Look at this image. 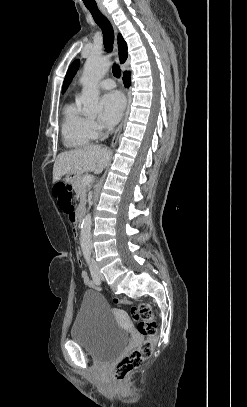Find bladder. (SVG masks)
<instances>
[{
    "mask_svg": "<svg viewBox=\"0 0 247 407\" xmlns=\"http://www.w3.org/2000/svg\"><path fill=\"white\" fill-rule=\"evenodd\" d=\"M71 338L91 357L108 360L124 349L129 332L117 322L107 300L99 292L89 290L84 293Z\"/></svg>",
    "mask_w": 247,
    "mask_h": 407,
    "instance_id": "31cf9c89",
    "label": "bladder"
}]
</instances>
